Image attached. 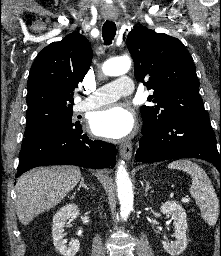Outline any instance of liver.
I'll return each mask as SVG.
<instances>
[{
	"mask_svg": "<svg viewBox=\"0 0 221 256\" xmlns=\"http://www.w3.org/2000/svg\"><path fill=\"white\" fill-rule=\"evenodd\" d=\"M75 166L39 167L24 173L16 183V213L28 225L40 213L56 206L79 183Z\"/></svg>",
	"mask_w": 221,
	"mask_h": 256,
	"instance_id": "liver-1",
	"label": "liver"
}]
</instances>
